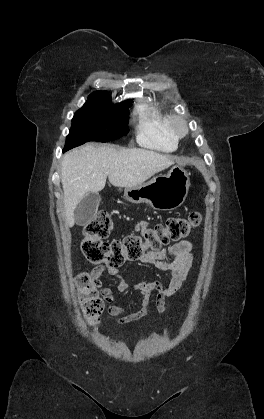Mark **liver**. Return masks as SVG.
<instances>
[{"label":"liver","instance_id":"liver-1","mask_svg":"<svg viewBox=\"0 0 264 419\" xmlns=\"http://www.w3.org/2000/svg\"><path fill=\"white\" fill-rule=\"evenodd\" d=\"M174 157L142 148L115 149L86 144L66 153L62 159L66 223H75L74 211L84 196L101 191L108 177L116 187H133L174 164Z\"/></svg>","mask_w":264,"mask_h":419}]
</instances>
